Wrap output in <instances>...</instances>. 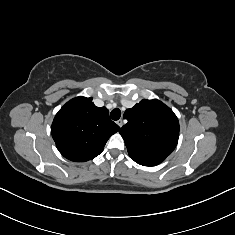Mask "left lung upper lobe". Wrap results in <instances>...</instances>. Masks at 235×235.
I'll list each match as a JSON object with an SVG mask.
<instances>
[{"instance_id":"1","label":"left lung upper lobe","mask_w":235,"mask_h":235,"mask_svg":"<svg viewBox=\"0 0 235 235\" xmlns=\"http://www.w3.org/2000/svg\"><path fill=\"white\" fill-rule=\"evenodd\" d=\"M128 120L119 131L129 156L143 166H155L175 149L179 137V122L173 111L161 101L142 100L127 109Z\"/></svg>"}]
</instances>
